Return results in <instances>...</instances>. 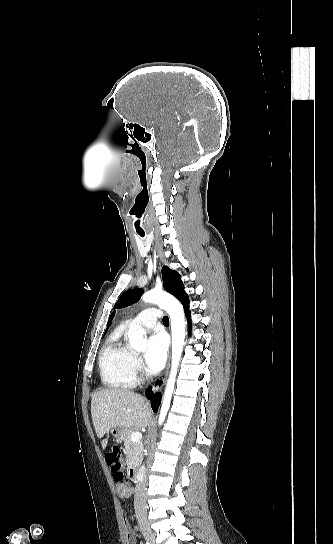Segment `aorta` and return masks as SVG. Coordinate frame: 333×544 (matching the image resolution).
<instances>
[{
    "instance_id": "762f6f07",
    "label": "aorta",
    "mask_w": 333,
    "mask_h": 544,
    "mask_svg": "<svg viewBox=\"0 0 333 544\" xmlns=\"http://www.w3.org/2000/svg\"><path fill=\"white\" fill-rule=\"evenodd\" d=\"M142 300L147 303H155L160 308L165 309L171 319L172 363L159 414L158 422L161 425L170 408L178 366L185 344V318L181 304L169 293L154 289L144 293ZM129 344L137 351H144L146 348L144 344V330L140 327L133 328L129 335Z\"/></svg>"
}]
</instances>
